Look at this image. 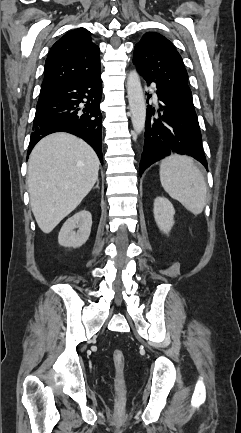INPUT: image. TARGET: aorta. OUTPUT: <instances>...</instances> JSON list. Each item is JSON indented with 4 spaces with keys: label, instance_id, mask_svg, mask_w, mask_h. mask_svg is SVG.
I'll return each instance as SVG.
<instances>
[{
    "label": "aorta",
    "instance_id": "obj_1",
    "mask_svg": "<svg viewBox=\"0 0 241 433\" xmlns=\"http://www.w3.org/2000/svg\"><path fill=\"white\" fill-rule=\"evenodd\" d=\"M126 87L133 129L136 134H140L145 127L146 106L140 78L136 70H132L128 74Z\"/></svg>",
    "mask_w": 241,
    "mask_h": 433
}]
</instances>
